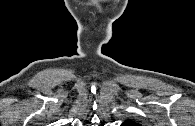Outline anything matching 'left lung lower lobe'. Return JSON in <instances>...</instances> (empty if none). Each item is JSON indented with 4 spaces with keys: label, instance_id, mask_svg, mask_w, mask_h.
Wrapping results in <instances>:
<instances>
[{
    "label": "left lung lower lobe",
    "instance_id": "obj_1",
    "mask_svg": "<svg viewBox=\"0 0 195 126\" xmlns=\"http://www.w3.org/2000/svg\"><path fill=\"white\" fill-rule=\"evenodd\" d=\"M121 126H130L129 124H128V122H124L123 124H121Z\"/></svg>",
    "mask_w": 195,
    "mask_h": 126
}]
</instances>
